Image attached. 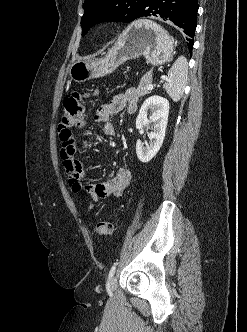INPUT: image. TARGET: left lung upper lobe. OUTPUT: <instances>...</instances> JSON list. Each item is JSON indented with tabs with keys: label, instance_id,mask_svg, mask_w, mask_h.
<instances>
[{
	"label": "left lung upper lobe",
	"instance_id": "5c2ea615",
	"mask_svg": "<svg viewBox=\"0 0 247 332\" xmlns=\"http://www.w3.org/2000/svg\"><path fill=\"white\" fill-rule=\"evenodd\" d=\"M147 0H85L81 19L82 35L100 22L129 23L136 18Z\"/></svg>",
	"mask_w": 247,
	"mask_h": 332
}]
</instances>
